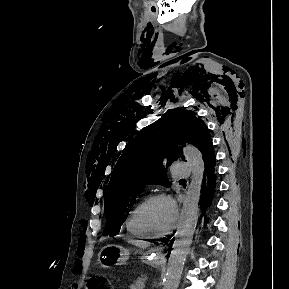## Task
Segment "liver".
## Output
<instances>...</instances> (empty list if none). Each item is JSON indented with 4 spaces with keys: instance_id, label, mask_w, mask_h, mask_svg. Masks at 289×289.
<instances>
[{
    "instance_id": "1",
    "label": "liver",
    "mask_w": 289,
    "mask_h": 289,
    "mask_svg": "<svg viewBox=\"0 0 289 289\" xmlns=\"http://www.w3.org/2000/svg\"><path fill=\"white\" fill-rule=\"evenodd\" d=\"M130 243L134 244L135 246H139V247H146L148 244L143 242V241H139V240H131Z\"/></svg>"
}]
</instances>
